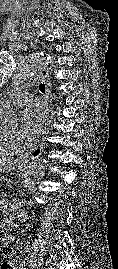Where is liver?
Instances as JSON below:
<instances>
[{"mask_svg": "<svg viewBox=\"0 0 118 269\" xmlns=\"http://www.w3.org/2000/svg\"><path fill=\"white\" fill-rule=\"evenodd\" d=\"M18 161L11 158H0V171L10 170L13 166L17 165Z\"/></svg>", "mask_w": 118, "mask_h": 269, "instance_id": "obj_1", "label": "liver"}]
</instances>
